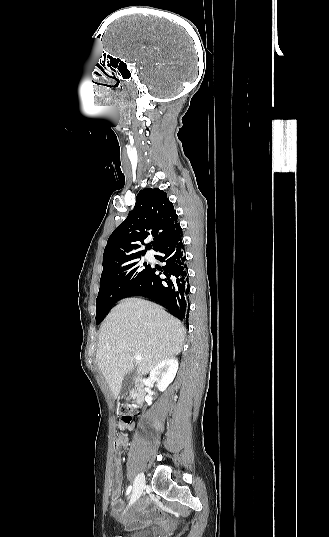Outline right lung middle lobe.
<instances>
[{
	"mask_svg": "<svg viewBox=\"0 0 329 537\" xmlns=\"http://www.w3.org/2000/svg\"><path fill=\"white\" fill-rule=\"evenodd\" d=\"M141 258V257H140ZM136 258L130 262L104 267L100 279V289L96 299V323L99 324L108 310L120 299L125 298L131 289L144 276L149 266Z\"/></svg>",
	"mask_w": 329,
	"mask_h": 537,
	"instance_id": "right-lung-middle-lobe-1",
	"label": "right lung middle lobe"
}]
</instances>
